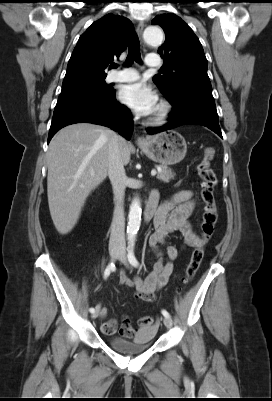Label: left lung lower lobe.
Instances as JSON below:
<instances>
[{"mask_svg": "<svg viewBox=\"0 0 272 401\" xmlns=\"http://www.w3.org/2000/svg\"><path fill=\"white\" fill-rule=\"evenodd\" d=\"M169 102L173 106L169 114V123L158 128H148V134H156L181 125L198 124L208 127L223 138L212 95L183 93Z\"/></svg>", "mask_w": 272, "mask_h": 401, "instance_id": "obj_1", "label": "left lung lower lobe"}]
</instances>
